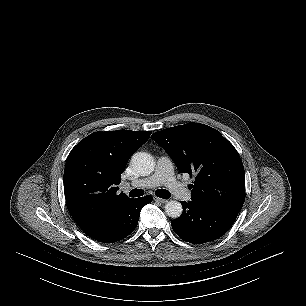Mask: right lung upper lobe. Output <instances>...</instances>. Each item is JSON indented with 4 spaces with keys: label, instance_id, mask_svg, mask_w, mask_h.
Masks as SVG:
<instances>
[{
    "label": "right lung upper lobe",
    "instance_id": "1",
    "mask_svg": "<svg viewBox=\"0 0 306 306\" xmlns=\"http://www.w3.org/2000/svg\"><path fill=\"white\" fill-rule=\"evenodd\" d=\"M150 135L132 130L95 132L69 153L63 178L66 204L87 235L107 224L131 199L118 194L116 185L129 158Z\"/></svg>",
    "mask_w": 306,
    "mask_h": 306
}]
</instances>
